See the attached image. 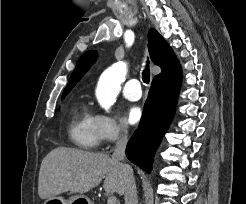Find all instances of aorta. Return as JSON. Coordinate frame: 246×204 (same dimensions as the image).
I'll use <instances>...</instances> for the list:
<instances>
[{"label":"aorta","mask_w":246,"mask_h":204,"mask_svg":"<svg viewBox=\"0 0 246 204\" xmlns=\"http://www.w3.org/2000/svg\"><path fill=\"white\" fill-rule=\"evenodd\" d=\"M126 73V63L118 62L106 69L99 79L96 96L100 106L107 112L115 102L118 90L125 79Z\"/></svg>","instance_id":"aorta-1"}]
</instances>
